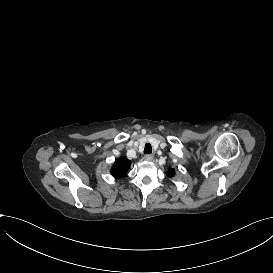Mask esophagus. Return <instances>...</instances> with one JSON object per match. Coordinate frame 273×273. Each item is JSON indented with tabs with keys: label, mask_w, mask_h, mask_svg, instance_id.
Returning a JSON list of instances; mask_svg holds the SVG:
<instances>
[{
	"label": "esophagus",
	"mask_w": 273,
	"mask_h": 273,
	"mask_svg": "<svg viewBox=\"0 0 273 273\" xmlns=\"http://www.w3.org/2000/svg\"><path fill=\"white\" fill-rule=\"evenodd\" d=\"M144 159H145L146 161H151V160L153 159V155H151V154H146V155L144 156Z\"/></svg>",
	"instance_id": "esophagus-1"
}]
</instances>
